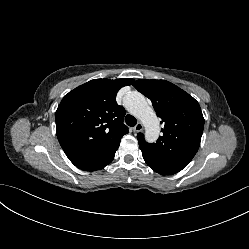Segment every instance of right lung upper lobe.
I'll use <instances>...</instances> for the list:
<instances>
[{
	"instance_id": "obj_1",
	"label": "right lung upper lobe",
	"mask_w": 249,
	"mask_h": 249,
	"mask_svg": "<svg viewBox=\"0 0 249 249\" xmlns=\"http://www.w3.org/2000/svg\"><path fill=\"white\" fill-rule=\"evenodd\" d=\"M131 78L94 79L64 96L55 114L56 133L66 155L101 151L128 133L125 109L116 102Z\"/></svg>"
}]
</instances>
